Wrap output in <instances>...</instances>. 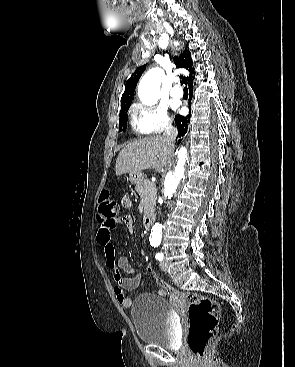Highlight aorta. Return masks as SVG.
Instances as JSON below:
<instances>
[{
  "label": "aorta",
  "instance_id": "aorta-1",
  "mask_svg": "<svg viewBox=\"0 0 295 367\" xmlns=\"http://www.w3.org/2000/svg\"><path fill=\"white\" fill-rule=\"evenodd\" d=\"M163 71L160 68H154L148 71L140 81L138 95L141 102L145 105H153L157 102V95L160 88V77ZM188 152L182 147L177 152V160L169 167L165 176L163 195L165 198H171L183 184L186 177ZM150 240L159 243L162 240V224L156 223L150 234Z\"/></svg>",
  "mask_w": 295,
  "mask_h": 367
}]
</instances>
